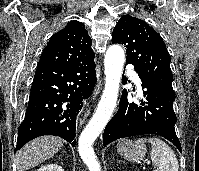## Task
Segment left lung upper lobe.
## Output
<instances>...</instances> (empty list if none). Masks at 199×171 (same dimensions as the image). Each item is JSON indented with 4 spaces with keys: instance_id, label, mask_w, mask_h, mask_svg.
<instances>
[{
    "instance_id": "left-lung-upper-lobe-1",
    "label": "left lung upper lobe",
    "mask_w": 199,
    "mask_h": 171,
    "mask_svg": "<svg viewBox=\"0 0 199 171\" xmlns=\"http://www.w3.org/2000/svg\"><path fill=\"white\" fill-rule=\"evenodd\" d=\"M112 43L126 46V64L134 65L140 78L174 93L171 58L161 36L146 22L122 16L113 30Z\"/></svg>"
}]
</instances>
